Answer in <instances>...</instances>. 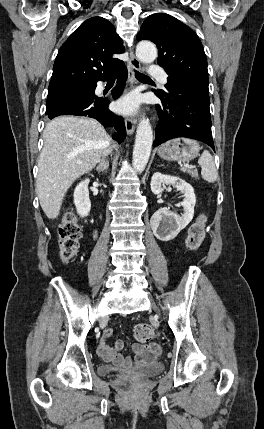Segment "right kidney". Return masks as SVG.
I'll use <instances>...</instances> for the list:
<instances>
[{"mask_svg": "<svg viewBox=\"0 0 264 429\" xmlns=\"http://www.w3.org/2000/svg\"><path fill=\"white\" fill-rule=\"evenodd\" d=\"M88 184L89 179H85L81 181L74 190V204L76 206L77 213L81 217L88 216L91 209Z\"/></svg>", "mask_w": 264, "mask_h": 429, "instance_id": "right-kidney-1", "label": "right kidney"}]
</instances>
